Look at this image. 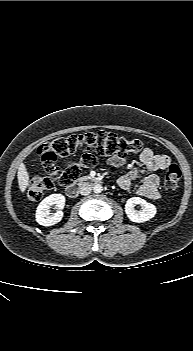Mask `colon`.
<instances>
[{"instance_id": "1", "label": "colon", "mask_w": 193, "mask_h": 351, "mask_svg": "<svg viewBox=\"0 0 193 351\" xmlns=\"http://www.w3.org/2000/svg\"><path fill=\"white\" fill-rule=\"evenodd\" d=\"M142 143L138 139H127L110 132H90L58 137L44 143L38 148L43 167L48 176L34 178L27 190L28 197L40 200L54 186L57 180L61 186H67L78 179L82 168L94 167L100 156L137 154L142 150ZM82 151L78 162L68 164L60 170L55 161L58 157H66ZM182 178L180 168L176 164L169 165L164 173V186L167 191H175Z\"/></svg>"}]
</instances>
